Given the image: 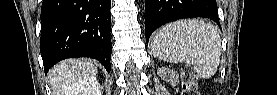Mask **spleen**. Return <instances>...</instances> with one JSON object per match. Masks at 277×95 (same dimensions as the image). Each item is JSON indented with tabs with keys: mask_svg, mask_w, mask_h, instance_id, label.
I'll use <instances>...</instances> for the list:
<instances>
[{
	"mask_svg": "<svg viewBox=\"0 0 277 95\" xmlns=\"http://www.w3.org/2000/svg\"><path fill=\"white\" fill-rule=\"evenodd\" d=\"M151 53L165 62L191 64L201 78H210L220 63L221 38L211 24L196 19L180 20L155 34Z\"/></svg>",
	"mask_w": 277,
	"mask_h": 95,
	"instance_id": "3e777b00",
	"label": "spleen"
}]
</instances>
